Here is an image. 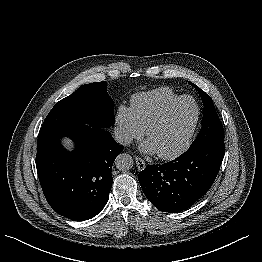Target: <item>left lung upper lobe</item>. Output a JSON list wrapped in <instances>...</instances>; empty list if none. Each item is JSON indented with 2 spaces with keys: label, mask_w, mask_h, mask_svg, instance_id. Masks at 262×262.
<instances>
[{
  "label": "left lung upper lobe",
  "mask_w": 262,
  "mask_h": 262,
  "mask_svg": "<svg viewBox=\"0 0 262 262\" xmlns=\"http://www.w3.org/2000/svg\"><path fill=\"white\" fill-rule=\"evenodd\" d=\"M199 93L204 104L203 123L199 134L191 144L190 148L207 143H224V130L222 123L215 110L211 97L194 83L189 82Z\"/></svg>",
  "instance_id": "1"
}]
</instances>
